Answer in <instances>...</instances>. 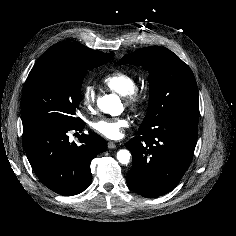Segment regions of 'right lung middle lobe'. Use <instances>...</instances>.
Here are the masks:
<instances>
[{
  "label": "right lung middle lobe",
  "instance_id": "1",
  "mask_svg": "<svg viewBox=\"0 0 236 236\" xmlns=\"http://www.w3.org/2000/svg\"><path fill=\"white\" fill-rule=\"evenodd\" d=\"M113 53L77 59L63 47L49 48L37 60L25 82L21 118L25 124L39 119L79 124L76 111L87 70L107 63Z\"/></svg>",
  "mask_w": 236,
  "mask_h": 236
}]
</instances>
